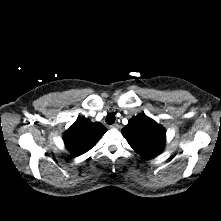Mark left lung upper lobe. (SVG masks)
Here are the masks:
<instances>
[{"mask_svg": "<svg viewBox=\"0 0 221 221\" xmlns=\"http://www.w3.org/2000/svg\"><path fill=\"white\" fill-rule=\"evenodd\" d=\"M121 132L134 151L146 159H153L164 149L165 129L144 114L131 118Z\"/></svg>", "mask_w": 221, "mask_h": 221, "instance_id": "left-lung-upper-lobe-1", "label": "left lung upper lobe"}]
</instances>
